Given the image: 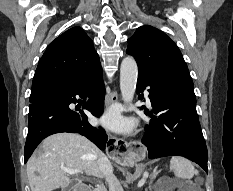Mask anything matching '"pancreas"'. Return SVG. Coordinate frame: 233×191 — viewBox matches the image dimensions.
<instances>
[{
    "instance_id": "obj_1",
    "label": "pancreas",
    "mask_w": 233,
    "mask_h": 191,
    "mask_svg": "<svg viewBox=\"0 0 233 191\" xmlns=\"http://www.w3.org/2000/svg\"><path fill=\"white\" fill-rule=\"evenodd\" d=\"M94 191H106L103 187H98L96 189H94Z\"/></svg>"
}]
</instances>
